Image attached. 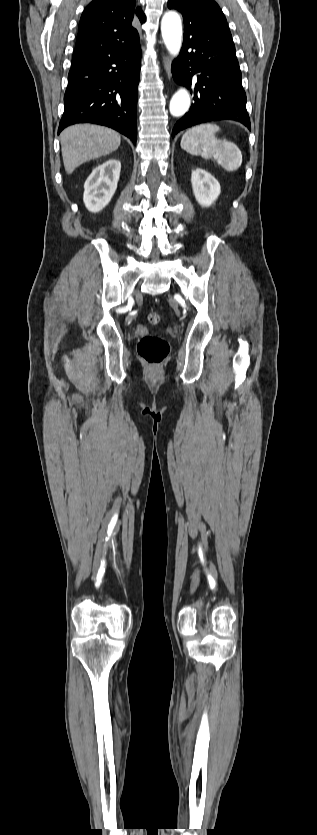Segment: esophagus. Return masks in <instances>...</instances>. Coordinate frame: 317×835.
<instances>
[{
    "label": "esophagus",
    "instance_id": "1",
    "mask_svg": "<svg viewBox=\"0 0 317 835\" xmlns=\"http://www.w3.org/2000/svg\"><path fill=\"white\" fill-rule=\"evenodd\" d=\"M163 63L167 76L170 78V59L167 56H164Z\"/></svg>",
    "mask_w": 317,
    "mask_h": 835
}]
</instances>
